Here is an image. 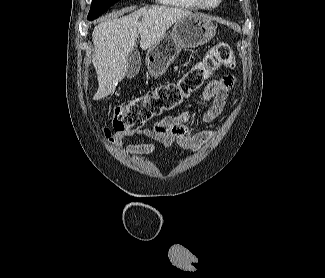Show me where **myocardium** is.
<instances>
[{
    "label": "myocardium",
    "mask_w": 325,
    "mask_h": 278,
    "mask_svg": "<svg viewBox=\"0 0 325 278\" xmlns=\"http://www.w3.org/2000/svg\"><path fill=\"white\" fill-rule=\"evenodd\" d=\"M198 1L204 8H210V9L218 7L222 2V0H217L215 3L209 4L206 0H198Z\"/></svg>",
    "instance_id": "myocardium-1"
}]
</instances>
